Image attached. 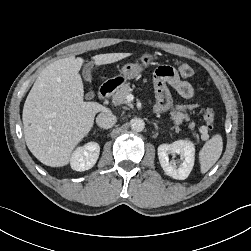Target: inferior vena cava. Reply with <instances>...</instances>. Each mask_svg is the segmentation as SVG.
Segmentation results:
<instances>
[{"label": "inferior vena cava", "instance_id": "obj_1", "mask_svg": "<svg viewBox=\"0 0 251 251\" xmlns=\"http://www.w3.org/2000/svg\"><path fill=\"white\" fill-rule=\"evenodd\" d=\"M116 121V116L110 111L100 113L96 118V123L101 128L112 127Z\"/></svg>", "mask_w": 251, "mask_h": 251}]
</instances>
